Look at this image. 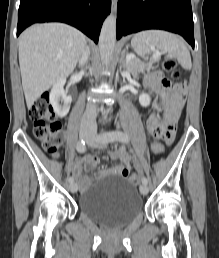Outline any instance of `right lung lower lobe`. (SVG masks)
<instances>
[{
	"label": "right lung lower lobe",
	"mask_w": 219,
	"mask_h": 258,
	"mask_svg": "<svg viewBox=\"0 0 219 258\" xmlns=\"http://www.w3.org/2000/svg\"><path fill=\"white\" fill-rule=\"evenodd\" d=\"M111 10V0H21L17 36L33 23L64 22L98 42L102 23Z\"/></svg>",
	"instance_id": "98d812e1"
}]
</instances>
